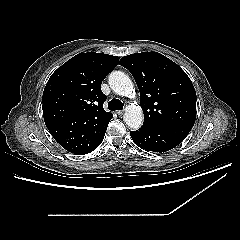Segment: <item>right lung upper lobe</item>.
<instances>
[{
    "instance_id": "1",
    "label": "right lung upper lobe",
    "mask_w": 240,
    "mask_h": 240,
    "mask_svg": "<svg viewBox=\"0 0 240 240\" xmlns=\"http://www.w3.org/2000/svg\"><path fill=\"white\" fill-rule=\"evenodd\" d=\"M119 57L79 53L49 78L43 92V117L54 139L67 151L84 154L104 138L113 115L103 109L101 83Z\"/></svg>"
}]
</instances>
